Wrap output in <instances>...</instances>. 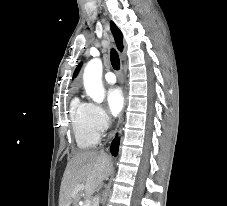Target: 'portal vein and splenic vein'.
Here are the masks:
<instances>
[{"instance_id": "portal-vein-and-splenic-vein-1", "label": "portal vein and splenic vein", "mask_w": 227, "mask_h": 206, "mask_svg": "<svg viewBox=\"0 0 227 206\" xmlns=\"http://www.w3.org/2000/svg\"><path fill=\"white\" fill-rule=\"evenodd\" d=\"M83 189H84L83 185H80L77 187V190H83ZM83 206H90V201L86 200Z\"/></svg>"}]
</instances>
